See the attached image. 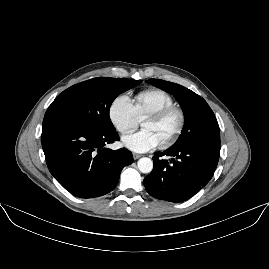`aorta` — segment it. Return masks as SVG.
Masks as SVG:
<instances>
[{
	"label": "aorta",
	"instance_id": "obj_1",
	"mask_svg": "<svg viewBox=\"0 0 269 269\" xmlns=\"http://www.w3.org/2000/svg\"><path fill=\"white\" fill-rule=\"evenodd\" d=\"M137 167L144 174L150 173L153 170V161L148 157H142L138 160Z\"/></svg>",
	"mask_w": 269,
	"mask_h": 269
}]
</instances>
